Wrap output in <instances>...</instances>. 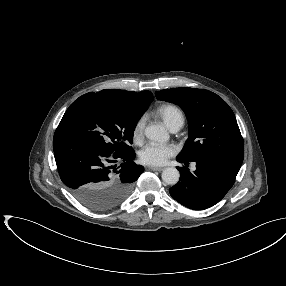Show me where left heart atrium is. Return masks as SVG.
I'll return each mask as SVG.
<instances>
[{
    "mask_svg": "<svg viewBox=\"0 0 286 286\" xmlns=\"http://www.w3.org/2000/svg\"><path fill=\"white\" fill-rule=\"evenodd\" d=\"M177 147L170 143L149 142L140 151V161L145 165L161 166L174 156Z\"/></svg>",
    "mask_w": 286,
    "mask_h": 286,
    "instance_id": "left-heart-atrium-1",
    "label": "left heart atrium"
}]
</instances>
